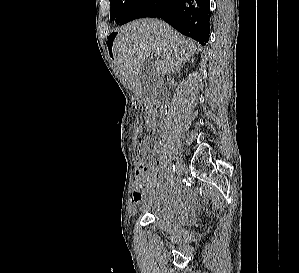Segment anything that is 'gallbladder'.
<instances>
[{
  "instance_id": "bac80fb5",
  "label": "gallbladder",
  "mask_w": 299,
  "mask_h": 273,
  "mask_svg": "<svg viewBox=\"0 0 299 273\" xmlns=\"http://www.w3.org/2000/svg\"><path fill=\"white\" fill-rule=\"evenodd\" d=\"M157 76L158 72L155 69L154 61H147L141 69V84L145 98L154 96Z\"/></svg>"
}]
</instances>
